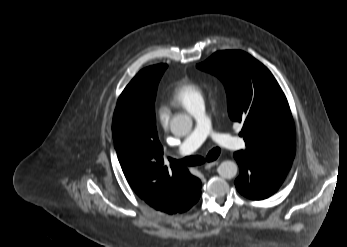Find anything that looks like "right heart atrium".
Segmentation results:
<instances>
[{"label":"right heart atrium","instance_id":"right-heart-atrium-1","mask_svg":"<svg viewBox=\"0 0 347 247\" xmlns=\"http://www.w3.org/2000/svg\"><path fill=\"white\" fill-rule=\"evenodd\" d=\"M158 121L163 128H167L170 123V116L165 110L158 112Z\"/></svg>","mask_w":347,"mask_h":247}]
</instances>
